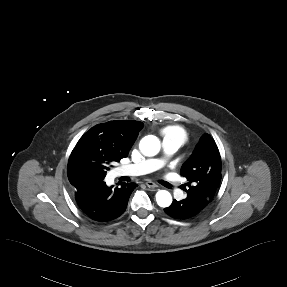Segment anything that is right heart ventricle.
<instances>
[{
    "label": "right heart ventricle",
    "mask_w": 287,
    "mask_h": 287,
    "mask_svg": "<svg viewBox=\"0 0 287 287\" xmlns=\"http://www.w3.org/2000/svg\"><path fill=\"white\" fill-rule=\"evenodd\" d=\"M163 134L165 138H172L177 140L180 145L184 144L186 141V134L185 131L178 126L169 127L163 130Z\"/></svg>",
    "instance_id": "e07e8e85"
}]
</instances>
